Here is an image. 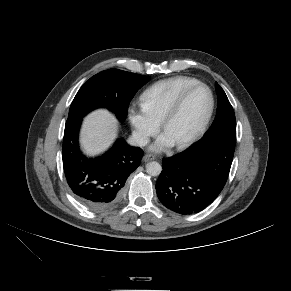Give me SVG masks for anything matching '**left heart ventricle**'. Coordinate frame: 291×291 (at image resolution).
Instances as JSON below:
<instances>
[{
  "label": "left heart ventricle",
  "mask_w": 291,
  "mask_h": 291,
  "mask_svg": "<svg viewBox=\"0 0 291 291\" xmlns=\"http://www.w3.org/2000/svg\"><path fill=\"white\" fill-rule=\"evenodd\" d=\"M210 104L209 93L205 88L192 91L177 114L168 123L164 134L174 144L189 138L200 126Z\"/></svg>",
  "instance_id": "b2bd125f"
}]
</instances>
